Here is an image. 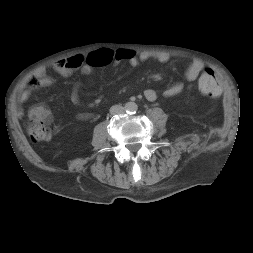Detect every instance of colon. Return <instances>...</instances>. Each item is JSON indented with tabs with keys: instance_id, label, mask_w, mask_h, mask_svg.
Instances as JSON below:
<instances>
[{
	"instance_id": "obj_1",
	"label": "colon",
	"mask_w": 253,
	"mask_h": 253,
	"mask_svg": "<svg viewBox=\"0 0 253 253\" xmlns=\"http://www.w3.org/2000/svg\"><path fill=\"white\" fill-rule=\"evenodd\" d=\"M38 84H34L36 87ZM199 90L211 97H218L222 93L221 86L215 73L207 69L198 80ZM55 132V128H51L42 122L31 120L29 134L34 142H42L49 140Z\"/></svg>"
}]
</instances>
